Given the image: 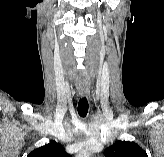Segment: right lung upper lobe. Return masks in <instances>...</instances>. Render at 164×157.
<instances>
[{
	"label": "right lung upper lobe",
	"instance_id": "obj_1",
	"mask_svg": "<svg viewBox=\"0 0 164 157\" xmlns=\"http://www.w3.org/2000/svg\"><path fill=\"white\" fill-rule=\"evenodd\" d=\"M27 157H71L63 146L55 141L32 151Z\"/></svg>",
	"mask_w": 164,
	"mask_h": 157
}]
</instances>
